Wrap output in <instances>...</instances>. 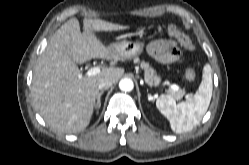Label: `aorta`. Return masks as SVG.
Here are the masks:
<instances>
[{
  "label": "aorta",
  "mask_w": 249,
  "mask_h": 165,
  "mask_svg": "<svg viewBox=\"0 0 249 165\" xmlns=\"http://www.w3.org/2000/svg\"><path fill=\"white\" fill-rule=\"evenodd\" d=\"M119 88L122 91L129 92L134 88V83L130 78H123L119 82Z\"/></svg>",
  "instance_id": "762f6f07"
}]
</instances>
